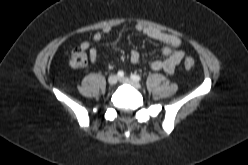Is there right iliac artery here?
I'll return each mask as SVG.
<instances>
[{"label":"right iliac artery","mask_w":248,"mask_h":165,"mask_svg":"<svg viewBox=\"0 0 248 165\" xmlns=\"http://www.w3.org/2000/svg\"><path fill=\"white\" fill-rule=\"evenodd\" d=\"M117 76L119 78L123 77L124 76V72L123 71H118Z\"/></svg>","instance_id":"82829eb1"}]
</instances>
